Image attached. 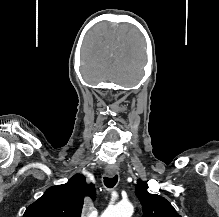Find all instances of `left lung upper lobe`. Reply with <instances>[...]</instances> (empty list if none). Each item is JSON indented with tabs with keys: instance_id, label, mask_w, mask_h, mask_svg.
Wrapping results in <instances>:
<instances>
[{
	"instance_id": "obj_1",
	"label": "left lung upper lobe",
	"mask_w": 219,
	"mask_h": 217,
	"mask_svg": "<svg viewBox=\"0 0 219 217\" xmlns=\"http://www.w3.org/2000/svg\"><path fill=\"white\" fill-rule=\"evenodd\" d=\"M148 185L138 180L136 194L143 208V217H181L165 198L147 192Z\"/></svg>"
}]
</instances>
